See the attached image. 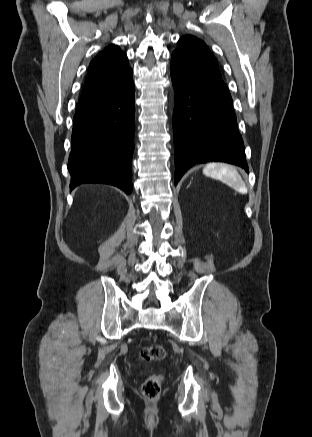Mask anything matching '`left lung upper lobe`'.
Instances as JSON below:
<instances>
[{
  "label": "left lung upper lobe",
  "mask_w": 312,
  "mask_h": 437,
  "mask_svg": "<svg viewBox=\"0 0 312 437\" xmlns=\"http://www.w3.org/2000/svg\"><path fill=\"white\" fill-rule=\"evenodd\" d=\"M174 52L185 56L199 67L221 78L216 59L207 45L200 39L193 36H183L178 41V47Z\"/></svg>",
  "instance_id": "left-lung-upper-lobe-1"
}]
</instances>
